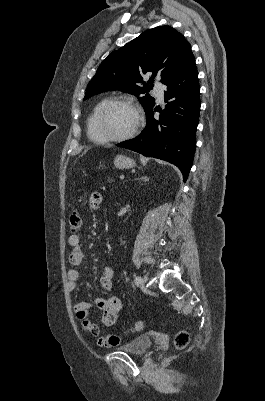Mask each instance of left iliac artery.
Returning a JSON list of instances; mask_svg holds the SVG:
<instances>
[{"instance_id": "1", "label": "left iliac artery", "mask_w": 265, "mask_h": 401, "mask_svg": "<svg viewBox=\"0 0 265 401\" xmlns=\"http://www.w3.org/2000/svg\"><path fill=\"white\" fill-rule=\"evenodd\" d=\"M134 281H135V284L138 286L139 284H141L142 279L140 276H137Z\"/></svg>"}]
</instances>
